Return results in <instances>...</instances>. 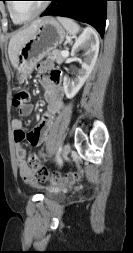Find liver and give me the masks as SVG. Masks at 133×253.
Masks as SVG:
<instances>
[{"label":"liver","instance_id":"6515ba94","mask_svg":"<svg viewBox=\"0 0 133 253\" xmlns=\"http://www.w3.org/2000/svg\"><path fill=\"white\" fill-rule=\"evenodd\" d=\"M42 20L43 19H37L33 21L30 25L18 31L10 39L8 45V55L14 68L16 67L17 57L20 49L36 33Z\"/></svg>","mask_w":133,"mask_h":253}]
</instances>
